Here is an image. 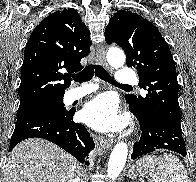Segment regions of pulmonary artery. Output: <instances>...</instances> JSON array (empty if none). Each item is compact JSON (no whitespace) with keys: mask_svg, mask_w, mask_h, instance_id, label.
Listing matches in <instances>:
<instances>
[{"mask_svg":"<svg viewBox=\"0 0 196 182\" xmlns=\"http://www.w3.org/2000/svg\"><path fill=\"white\" fill-rule=\"evenodd\" d=\"M117 83L121 85H133L137 81V76L134 71L129 69H121L117 73ZM97 89V86L94 84H85L81 87L71 89L69 91V98L71 100L79 99Z\"/></svg>","mask_w":196,"mask_h":182,"instance_id":"1","label":"pulmonary artery"}]
</instances>
